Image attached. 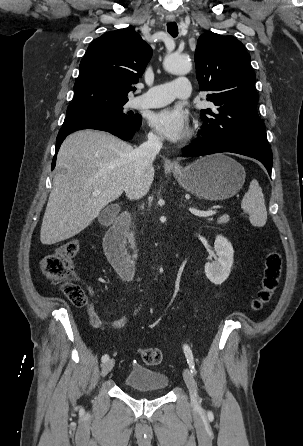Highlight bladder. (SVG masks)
Masks as SVG:
<instances>
[{"label": "bladder", "instance_id": "bladder-1", "mask_svg": "<svg viewBox=\"0 0 303 446\" xmlns=\"http://www.w3.org/2000/svg\"><path fill=\"white\" fill-rule=\"evenodd\" d=\"M124 386L137 392H164L169 386L166 374L143 366H133L124 378Z\"/></svg>", "mask_w": 303, "mask_h": 446}]
</instances>
